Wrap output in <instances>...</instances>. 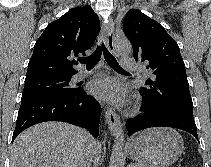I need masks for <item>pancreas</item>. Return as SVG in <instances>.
Returning a JSON list of instances; mask_svg holds the SVG:
<instances>
[{"instance_id": "obj_1", "label": "pancreas", "mask_w": 211, "mask_h": 167, "mask_svg": "<svg viewBox=\"0 0 211 167\" xmlns=\"http://www.w3.org/2000/svg\"><path fill=\"white\" fill-rule=\"evenodd\" d=\"M130 167H143L141 164H130Z\"/></svg>"}]
</instances>
